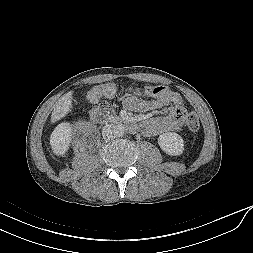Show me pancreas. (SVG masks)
Returning a JSON list of instances; mask_svg holds the SVG:
<instances>
[{
  "label": "pancreas",
  "mask_w": 253,
  "mask_h": 253,
  "mask_svg": "<svg viewBox=\"0 0 253 253\" xmlns=\"http://www.w3.org/2000/svg\"><path fill=\"white\" fill-rule=\"evenodd\" d=\"M107 116H108L107 121H109V122H114L117 119V116L114 112H112V114H109Z\"/></svg>",
  "instance_id": "obj_1"
}]
</instances>
